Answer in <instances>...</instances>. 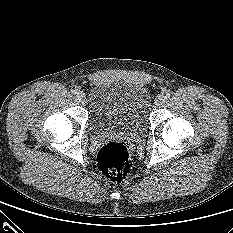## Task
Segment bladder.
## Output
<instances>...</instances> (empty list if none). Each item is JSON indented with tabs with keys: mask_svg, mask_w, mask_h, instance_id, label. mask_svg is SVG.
<instances>
[{
	"mask_svg": "<svg viewBox=\"0 0 233 233\" xmlns=\"http://www.w3.org/2000/svg\"><path fill=\"white\" fill-rule=\"evenodd\" d=\"M88 103L89 127L94 135L123 132L138 136L147 129L150 95L142 85L126 81L95 83Z\"/></svg>",
	"mask_w": 233,
	"mask_h": 233,
	"instance_id": "1",
	"label": "bladder"
}]
</instances>
